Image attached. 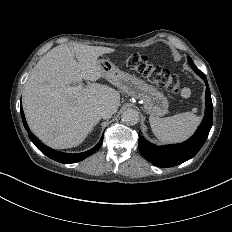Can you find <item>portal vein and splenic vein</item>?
Listing matches in <instances>:
<instances>
[{"mask_svg":"<svg viewBox=\"0 0 232 232\" xmlns=\"http://www.w3.org/2000/svg\"><path fill=\"white\" fill-rule=\"evenodd\" d=\"M83 88V83L80 82L78 83V85L76 87L70 86L68 87V90L71 92L77 91V90H81Z\"/></svg>","mask_w":232,"mask_h":232,"instance_id":"1","label":"portal vein and splenic vein"}]
</instances>
